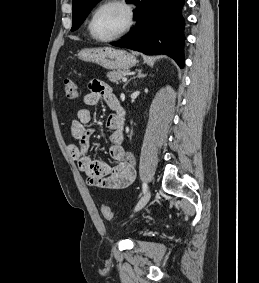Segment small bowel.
<instances>
[{"mask_svg": "<svg viewBox=\"0 0 259 283\" xmlns=\"http://www.w3.org/2000/svg\"><path fill=\"white\" fill-rule=\"evenodd\" d=\"M100 99L115 113L107 117L105 125L110 131L108 149L110 158L115 162L110 166L102 161L94 160L88 155L91 146L93 129L87 124L91 121V111L79 108L71 123L72 137L77 141L67 146L69 155L78 168L87 176L90 185L107 189H122L128 187L135 179V158L123 147V121L117 113L119 99L105 83L94 80L89 84V92L84 96L86 105H96Z\"/></svg>", "mask_w": 259, "mask_h": 283, "instance_id": "small-bowel-1", "label": "small bowel"}]
</instances>
